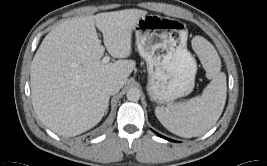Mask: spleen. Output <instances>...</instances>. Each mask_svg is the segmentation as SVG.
<instances>
[{
	"instance_id": "obj_1",
	"label": "spleen",
	"mask_w": 267,
	"mask_h": 166,
	"mask_svg": "<svg viewBox=\"0 0 267 166\" xmlns=\"http://www.w3.org/2000/svg\"><path fill=\"white\" fill-rule=\"evenodd\" d=\"M197 52L207 76L212 79L202 95L155 109L160 123L170 132L184 138L206 133L221 116L227 95L226 76L220 72L221 61L214 47L202 40V46Z\"/></svg>"
}]
</instances>
